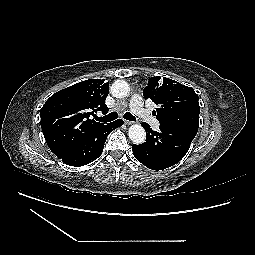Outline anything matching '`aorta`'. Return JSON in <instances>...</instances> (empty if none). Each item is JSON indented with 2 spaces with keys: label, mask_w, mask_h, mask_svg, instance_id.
<instances>
[{
  "label": "aorta",
  "mask_w": 255,
  "mask_h": 255,
  "mask_svg": "<svg viewBox=\"0 0 255 255\" xmlns=\"http://www.w3.org/2000/svg\"><path fill=\"white\" fill-rule=\"evenodd\" d=\"M129 84L124 80H116L111 86V93L116 98H123L129 94ZM129 138L135 144H142L146 138L145 129L139 124H133L128 131Z\"/></svg>",
  "instance_id": "1"
}]
</instances>
